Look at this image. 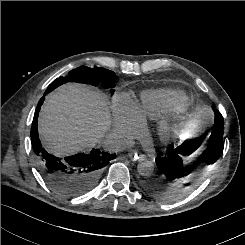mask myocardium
<instances>
[{
    "label": "myocardium",
    "instance_id": "obj_1",
    "mask_svg": "<svg viewBox=\"0 0 245 245\" xmlns=\"http://www.w3.org/2000/svg\"><path fill=\"white\" fill-rule=\"evenodd\" d=\"M171 131V124L167 121L161 122L158 127L159 135L163 138L167 137Z\"/></svg>",
    "mask_w": 245,
    "mask_h": 245
}]
</instances>
